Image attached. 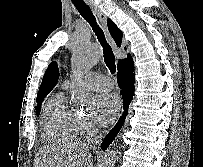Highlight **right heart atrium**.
I'll use <instances>...</instances> for the list:
<instances>
[{
	"label": "right heart atrium",
	"instance_id": "right-heart-atrium-1",
	"mask_svg": "<svg viewBox=\"0 0 203 167\" xmlns=\"http://www.w3.org/2000/svg\"><path fill=\"white\" fill-rule=\"evenodd\" d=\"M81 129L83 130H92L94 128V124L92 120L88 117H80Z\"/></svg>",
	"mask_w": 203,
	"mask_h": 167
}]
</instances>
